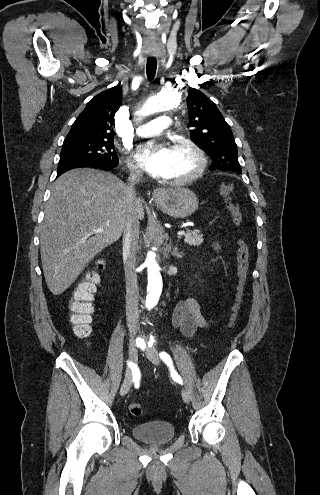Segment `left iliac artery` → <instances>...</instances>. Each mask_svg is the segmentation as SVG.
I'll list each match as a JSON object with an SVG mask.
<instances>
[{"label": "left iliac artery", "instance_id": "left-iliac-artery-1", "mask_svg": "<svg viewBox=\"0 0 320 495\" xmlns=\"http://www.w3.org/2000/svg\"><path fill=\"white\" fill-rule=\"evenodd\" d=\"M160 358H161V359H162V361H163V362H164V363H165V364L169 367L170 372H171V376H172V378H173L176 382H178V383L182 384V383H183V381H182L181 377L179 376V374L175 371V369H174V367H173V361H172V359H171L170 355H169L167 352L162 351V352L160 353Z\"/></svg>", "mask_w": 320, "mask_h": 495}]
</instances>
